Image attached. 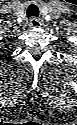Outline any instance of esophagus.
<instances>
[{"mask_svg":"<svg viewBox=\"0 0 77 125\" xmlns=\"http://www.w3.org/2000/svg\"><path fill=\"white\" fill-rule=\"evenodd\" d=\"M30 26L33 27V28H38L41 26V22L39 19L33 17L30 19V22H29Z\"/></svg>","mask_w":77,"mask_h":125,"instance_id":"1","label":"esophagus"}]
</instances>
